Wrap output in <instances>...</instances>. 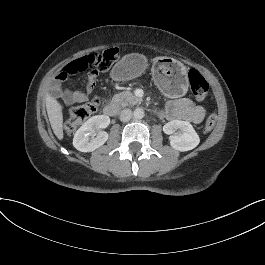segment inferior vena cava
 <instances>
[{"instance_id":"obj_1","label":"inferior vena cava","mask_w":265,"mask_h":265,"mask_svg":"<svg viewBox=\"0 0 265 265\" xmlns=\"http://www.w3.org/2000/svg\"><path fill=\"white\" fill-rule=\"evenodd\" d=\"M132 118V111L130 109H124L120 114V121L127 122Z\"/></svg>"}]
</instances>
